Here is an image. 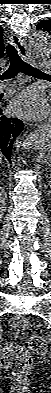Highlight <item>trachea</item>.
I'll use <instances>...</instances> for the list:
<instances>
[{"mask_svg":"<svg viewBox=\"0 0 51 393\" xmlns=\"http://www.w3.org/2000/svg\"><path fill=\"white\" fill-rule=\"evenodd\" d=\"M6 51L10 59L9 68L0 76L1 80L14 78L19 72H22L30 76H42L45 75L42 71L31 65L25 63L21 57L18 55L16 48L8 43L6 46Z\"/></svg>","mask_w":51,"mask_h":393,"instance_id":"trachea-1","label":"trachea"}]
</instances>
